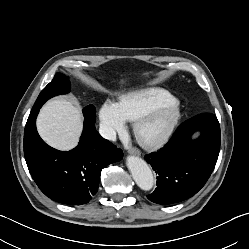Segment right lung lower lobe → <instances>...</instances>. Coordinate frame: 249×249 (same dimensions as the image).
Returning a JSON list of instances; mask_svg holds the SVG:
<instances>
[{"instance_id": "1", "label": "right lung lower lobe", "mask_w": 249, "mask_h": 249, "mask_svg": "<svg viewBox=\"0 0 249 249\" xmlns=\"http://www.w3.org/2000/svg\"><path fill=\"white\" fill-rule=\"evenodd\" d=\"M41 106H33L24 132V155L30 174L50 199L70 205L85 204L98 190L102 169L121 160L123 152L102 138L94 122L87 118L80 142L73 150L59 151L48 146L36 130Z\"/></svg>"}]
</instances>
